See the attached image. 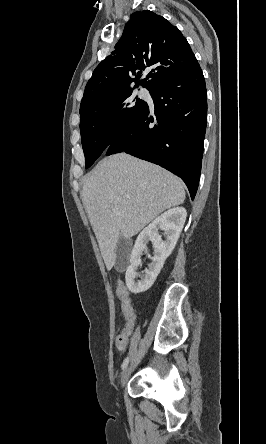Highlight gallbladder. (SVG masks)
<instances>
[{
    "instance_id": "1",
    "label": "gallbladder",
    "mask_w": 266,
    "mask_h": 444,
    "mask_svg": "<svg viewBox=\"0 0 266 444\" xmlns=\"http://www.w3.org/2000/svg\"><path fill=\"white\" fill-rule=\"evenodd\" d=\"M130 249V241L123 236H120L117 242L115 255H116V263L115 269L117 271H122L128 263Z\"/></svg>"
}]
</instances>
